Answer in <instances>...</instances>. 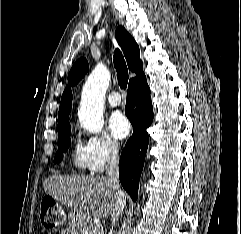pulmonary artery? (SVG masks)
<instances>
[{
    "label": "pulmonary artery",
    "instance_id": "obj_1",
    "mask_svg": "<svg viewBox=\"0 0 241 234\" xmlns=\"http://www.w3.org/2000/svg\"><path fill=\"white\" fill-rule=\"evenodd\" d=\"M107 103L112 106L116 107L121 104V96L118 92H112L107 99Z\"/></svg>",
    "mask_w": 241,
    "mask_h": 234
}]
</instances>
